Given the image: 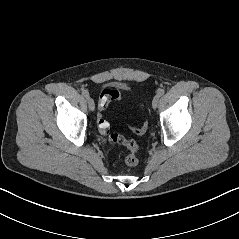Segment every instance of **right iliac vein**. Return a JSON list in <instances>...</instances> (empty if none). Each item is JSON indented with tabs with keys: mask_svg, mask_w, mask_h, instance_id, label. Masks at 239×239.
I'll return each instance as SVG.
<instances>
[{
	"mask_svg": "<svg viewBox=\"0 0 239 239\" xmlns=\"http://www.w3.org/2000/svg\"><path fill=\"white\" fill-rule=\"evenodd\" d=\"M87 104L91 111H93L95 109V103L92 98H90V97L87 98Z\"/></svg>",
	"mask_w": 239,
	"mask_h": 239,
	"instance_id": "63e3f726",
	"label": "right iliac vein"
}]
</instances>
